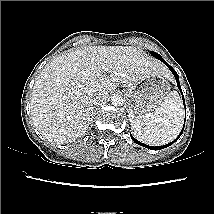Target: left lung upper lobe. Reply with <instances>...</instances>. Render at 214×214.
<instances>
[{"label":"left lung upper lobe","instance_id":"5c2ea615","mask_svg":"<svg viewBox=\"0 0 214 214\" xmlns=\"http://www.w3.org/2000/svg\"><path fill=\"white\" fill-rule=\"evenodd\" d=\"M151 54L155 57V58H157V59H159L160 61L163 59L159 54H157L156 52H151Z\"/></svg>","mask_w":214,"mask_h":214}]
</instances>
